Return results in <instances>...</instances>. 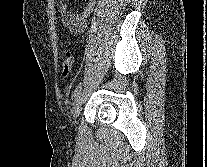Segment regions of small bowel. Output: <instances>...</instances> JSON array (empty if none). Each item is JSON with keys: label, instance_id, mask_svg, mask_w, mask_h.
<instances>
[{"label": "small bowel", "instance_id": "1", "mask_svg": "<svg viewBox=\"0 0 207 167\" xmlns=\"http://www.w3.org/2000/svg\"><path fill=\"white\" fill-rule=\"evenodd\" d=\"M94 5L95 0H86L85 7L82 10L72 11L69 7V0H60L59 13L62 27L73 35L81 33L88 23Z\"/></svg>", "mask_w": 207, "mask_h": 167}]
</instances>
